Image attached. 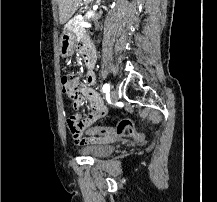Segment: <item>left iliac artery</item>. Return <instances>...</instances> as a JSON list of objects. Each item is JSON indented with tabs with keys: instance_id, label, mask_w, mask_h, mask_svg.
Returning a JSON list of instances; mask_svg holds the SVG:
<instances>
[{
	"instance_id": "44dca946",
	"label": "left iliac artery",
	"mask_w": 217,
	"mask_h": 202,
	"mask_svg": "<svg viewBox=\"0 0 217 202\" xmlns=\"http://www.w3.org/2000/svg\"><path fill=\"white\" fill-rule=\"evenodd\" d=\"M102 90H103L104 93L109 92L110 91V85L107 84V83L104 84Z\"/></svg>"
}]
</instances>
